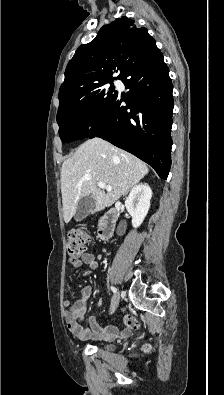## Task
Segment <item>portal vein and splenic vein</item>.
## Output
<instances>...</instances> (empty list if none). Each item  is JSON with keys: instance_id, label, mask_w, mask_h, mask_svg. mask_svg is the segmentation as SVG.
<instances>
[{"instance_id": "portal-vein-and-splenic-vein-1", "label": "portal vein and splenic vein", "mask_w": 224, "mask_h": 395, "mask_svg": "<svg viewBox=\"0 0 224 395\" xmlns=\"http://www.w3.org/2000/svg\"><path fill=\"white\" fill-rule=\"evenodd\" d=\"M98 187L107 191H110L112 189L110 185H106L104 182H99Z\"/></svg>"}]
</instances>
